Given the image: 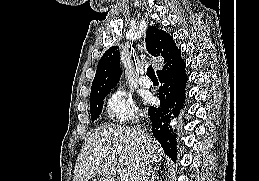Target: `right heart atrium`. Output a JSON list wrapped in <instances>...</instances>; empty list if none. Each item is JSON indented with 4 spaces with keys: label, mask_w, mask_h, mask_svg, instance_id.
Segmentation results:
<instances>
[{
    "label": "right heart atrium",
    "mask_w": 259,
    "mask_h": 181,
    "mask_svg": "<svg viewBox=\"0 0 259 181\" xmlns=\"http://www.w3.org/2000/svg\"><path fill=\"white\" fill-rule=\"evenodd\" d=\"M105 115L110 122L123 126L135 121L139 110L129 93L117 89L109 94L105 101Z\"/></svg>",
    "instance_id": "right-heart-atrium-1"
}]
</instances>
